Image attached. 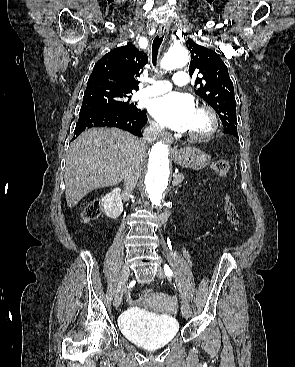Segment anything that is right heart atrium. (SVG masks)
<instances>
[{
	"label": "right heart atrium",
	"mask_w": 295,
	"mask_h": 367,
	"mask_svg": "<svg viewBox=\"0 0 295 367\" xmlns=\"http://www.w3.org/2000/svg\"><path fill=\"white\" fill-rule=\"evenodd\" d=\"M151 129L154 131V132H159L160 131V126L154 122L151 123Z\"/></svg>",
	"instance_id": "1"
}]
</instances>
